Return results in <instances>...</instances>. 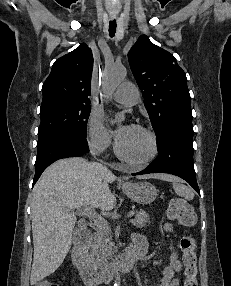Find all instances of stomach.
<instances>
[{"instance_id": "1", "label": "stomach", "mask_w": 231, "mask_h": 286, "mask_svg": "<svg viewBox=\"0 0 231 286\" xmlns=\"http://www.w3.org/2000/svg\"><path fill=\"white\" fill-rule=\"evenodd\" d=\"M123 192L134 202L147 205L157 197L156 188L149 182H135L122 185Z\"/></svg>"}]
</instances>
